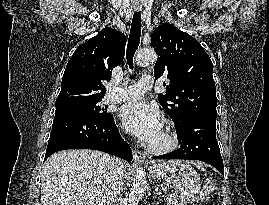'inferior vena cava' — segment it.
I'll use <instances>...</instances> for the list:
<instances>
[{"mask_svg":"<svg viewBox=\"0 0 269 205\" xmlns=\"http://www.w3.org/2000/svg\"><path fill=\"white\" fill-rule=\"evenodd\" d=\"M107 185L100 205H116L124 186V165L118 158H111L108 162Z\"/></svg>","mask_w":269,"mask_h":205,"instance_id":"inferior-vena-cava-1","label":"inferior vena cava"}]
</instances>
